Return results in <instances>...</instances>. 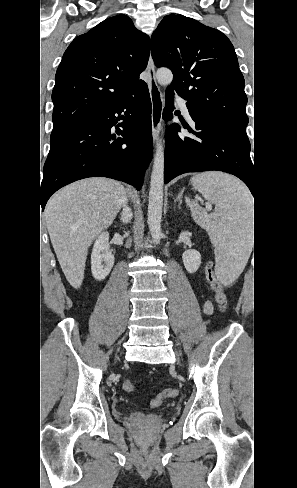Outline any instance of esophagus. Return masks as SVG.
<instances>
[{
  "instance_id": "obj_1",
  "label": "esophagus",
  "mask_w": 297,
  "mask_h": 488,
  "mask_svg": "<svg viewBox=\"0 0 297 488\" xmlns=\"http://www.w3.org/2000/svg\"><path fill=\"white\" fill-rule=\"evenodd\" d=\"M148 88L151 99V122L152 136L156 142L161 130L162 113L164 108V99L160 88L156 82L154 63L150 54L147 64Z\"/></svg>"
}]
</instances>
